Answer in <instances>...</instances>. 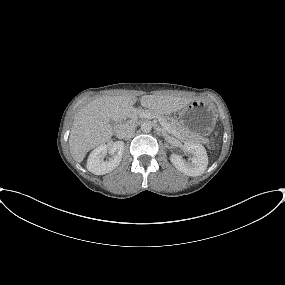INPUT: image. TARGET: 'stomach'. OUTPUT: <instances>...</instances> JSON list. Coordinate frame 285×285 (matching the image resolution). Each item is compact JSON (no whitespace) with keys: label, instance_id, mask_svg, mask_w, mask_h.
Listing matches in <instances>:
<instances>
[{"label":"stomach","instance_id":"stomach-1","mask_svg":"<svg viewBox=\"0 0 285 285\" xmlns=\"http://www.w3.org/2000/svg\"><path fill=\"white\" fill-rule=\"evenodd\" d=\"M178 123L192 138L209 135L216 123V112L213 107L202 100H195L178 112Z\"/></svg>","mask_w":285,"mask_h":285}]
</instances>
